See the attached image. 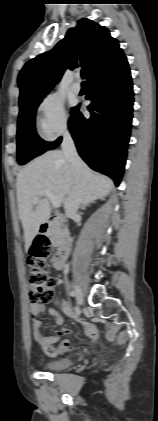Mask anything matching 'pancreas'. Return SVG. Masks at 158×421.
Instances as JSON below:
<instances>
[{
    "label": "pancreas",
    "mask_w": 158,
    "mask_h": 421,
    "mask_svg": "<svg viewBox=\"0 0 158 421\" xmlns=\"http://www.w3.org/2000/svg\"><path fill=\"white\" fill-rule=\"evenodd\" d=\"M48 236L52 246L56 247L59 244L61 237L63 236V230L60 228L58 223L51 224L48 231Z\"/></svg>",
    "instance_id": "cf45deb5"
}]
</instances>
